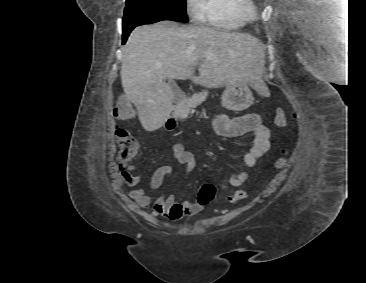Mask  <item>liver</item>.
<instances>
[{"instance_id": "1", "label": "liver", "mask_w": 366, "mask_h": 283, "mask_svg": "<svg viewBox=\"0 0 366 283\" xmlns=\"http://www.w3.org/2000/svg\"><path fill=\"white\" fill-rule=\"evenodd\" d=\"M264 63V46L250 35L161 21L131 32L120 74L140 123L151 132L162 127L173 110L166 78L190 79L208 88L241 80L259 89Z\"/></svg>"}]
</instances>
